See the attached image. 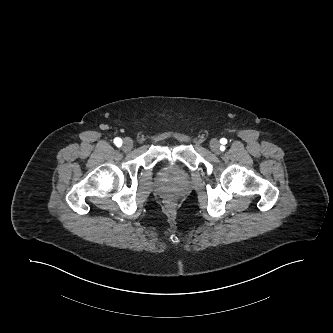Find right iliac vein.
<instances>
[{"label": "right iliac vein", "instance_id": "obj_1", "mask_svg": "<svg viewBox=\"0 0 333 333\" xmlns=\"http://www.w3.org/2000/svg\"><path fill=\"white\" fill-rule=\"evenodd\" d=\"M133 147V141L130 138H125L122 142V149L125 152H128L132 149Z\"/></svg>", "mask_w": 333, "mask_h": 333}]
</instances>
